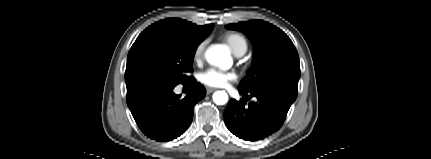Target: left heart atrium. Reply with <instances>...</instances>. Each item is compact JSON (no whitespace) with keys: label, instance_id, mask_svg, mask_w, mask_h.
<instances>
[{"label":"left heart atrium","instance_id":"39dd6f15","mask_svg":"<svg viewBox=\"0 0 431 159\" xmlns=\"http://www.w3.org/2000/svg\"><path fill=\"white\" fill-rule=\"evenodd\" d=\"M235 79V73L221 71L215 68H210L200 75L201 82L209 87H224Z\"/></svg>","mask_w":431,"mask_h":159}]
</instances>
